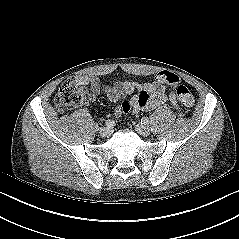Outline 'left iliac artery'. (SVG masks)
<instances>
[{
  "label": "left iliac artery",
  "mask_w": 239,
  "mask_h": 239,
  "mask_svg": "<svg viewBox=\"0 0 239 239\" xmlns=\"http://www.w3.org/2000/svg\"><path fill=\"white\" fill-rule=\"evenodd\" d=\"M149 123V119L147 117H143L141 119V124L147 125Z\"/></svg>",
  "instance_id": "1"
}]
</instances>
